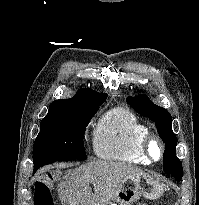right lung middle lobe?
Wrapping results in <instances>:
<instances>
[{"mask_svg":"<svg viewBox=\"0 0 199 205\" xmlns=\"http://www.w3.org/2000/svg\"><path fill=\"white\" fill-rule=\"evenodd\" d=\"M105 100L83 101L49 109L34 142V173L40 167L57 161L86 160L83 143L86 126Z\"/></svg>","mask_w":199,"mask_h":205,"instance_id":"obj_1","label":"right lung middle lobe"}]
</instances>
